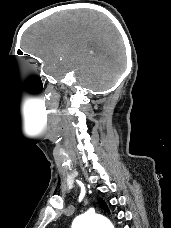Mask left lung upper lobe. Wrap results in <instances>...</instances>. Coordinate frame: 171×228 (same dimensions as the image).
<instances>
[{"label": "left lung upper lobe", "instance_id": "left-lung-upper-lobe-1", "mask_svg": "<svg viewBox=\"0 0 171 228\" xmlns=\"http://www.w3.org/2000/svg\"><path fill=\"white\" fill-rule=\"evenodd\" d=\"M98 201H99L100 206L103 208V210H105L106 212H109L106 203L101 198H99Z\"/></svg>", "mask_w": 171, "mask_h": 228}]
</instances>
